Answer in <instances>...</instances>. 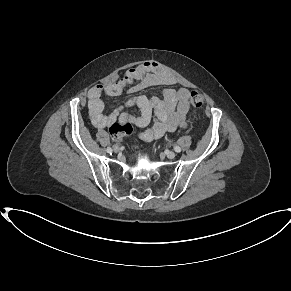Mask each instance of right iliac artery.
Listing matches in <instances>:
<instances>
[{"instance_id":"obj_1","label":"right iliac artery","mask_w":291,"mask_h":291,"mask_svg":"<svg viewBox=\"0 0 291 291\" xmlns=\"http://www.w3.org/2000/svg\"><path fill=\"white\" fill-rule=\"evenodd\" d=\"M112 151H113V150H112L111 148H107V152H108V153H110V154H111V153H112Z\"/></svg>"}]
</instances>
